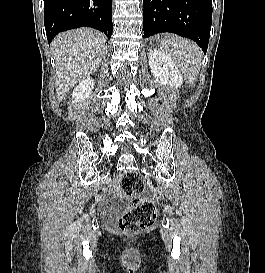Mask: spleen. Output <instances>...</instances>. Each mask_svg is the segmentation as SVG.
Masks as SVG:
<instances>
[{
	"label": "spleen",
	"mask_w": 265,
	"mask_h": 273,
	"mask_svg": "<svg viewBox=\"0 0 265 273\" xmlns=\"http://www.w3.org/2000/svg\"><path fill=\"white\" fill-rule=\"evenodd\" d=\"M161 50L169 56L183 72L188 83H194L201 67V50L188 39L175 35H165L160 41Z\"/></svg>",
	"instance_id": "3e777b00"
}]
</instances>
